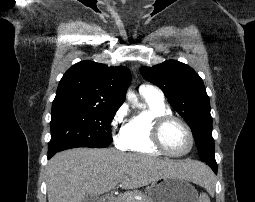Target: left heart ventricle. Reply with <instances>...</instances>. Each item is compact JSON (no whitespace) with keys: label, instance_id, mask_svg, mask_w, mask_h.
<instances>
[{"label":"left heart ventricle","instance_id":"obj_1","mask_svg":"<svg viewBox=\"0 0 255 202\" xmlns=\"http://www.w3.org/2000/svg\"><path fill=\"white\" fill-rule=\"evenodd\" d=\"M163 142L169 150L176 153L186 151L190 145L187 131L178 122H172L165 127Z\"/></svg>","mask_w":255,"mask_h":202}]
</instances>
